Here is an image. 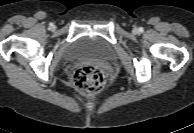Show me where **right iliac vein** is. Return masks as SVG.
I'll use <instances>...</instances> for the list:
<instances>
[{
  "label": "right iliac vein",
  "instance_id": "right-iliac-vein-1",
  "mask_svg": "<svg viewBox=\"0 0 194 133\" xmlns=\"http://www.w3.org/2000/svg\"><path fill=\"white\" fill-rule=\"evenodd\" d=\"M51 29H52V30H55V29H56V27L53 25V26L51 27Z\"/></svg>",
  "mask_w": 194,
  "mask_h": 133
}]
</instances>
